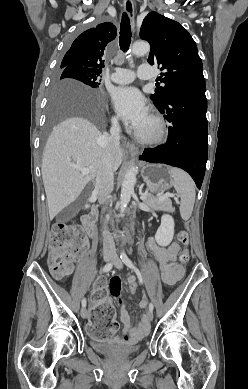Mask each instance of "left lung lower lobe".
<instances>
[{"label":"left lung lower lobe","mask_w":248,"mask_h":389,"mask_svg":"<svg viewBox=\"0 0 248 389\" xmlns=\"http://www.w3.org/2000/svg\"><path fill=\"white\" fill-rule=\"evenodd\" d=\"M157 108L171 123L168 140L155 149H145L140 160L182 168L200 188L208 154L205 83L179 89Z\"/></svg>","instance_id":"0a47b994"}]
</instances>
